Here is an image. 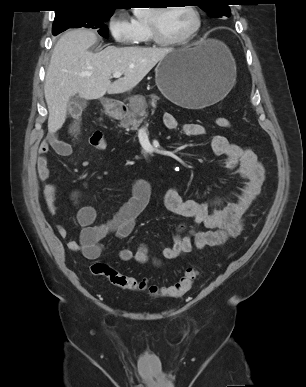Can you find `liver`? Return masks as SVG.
<instances>
[{"label": "liver", "mask_w": 306, "mask_h": 387, "mask_svg": "<svg viewBox=\"0 0 306 387\" xmlns=\"http://www.w3.org/2000/svg\"><path fill=\"white\" fill-rule=\"evenodd\" d=\"M97 36L87 29L66 32L56 43L47 70L44 94L48 106V131L55 133L65 120L70 97L100 99L106 93L131 91L173 48L108 46L90 51ZM123 77L111 82L112 74Z\"/></svg>", "instance_id": "obj_1"}]
</instances>
